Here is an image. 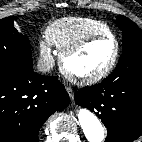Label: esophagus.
<instances>
[{
  "mask_svg": "<svg viewBox=\"0 0 142 142\" xmlns=\"http://www.w3.org/2000/svg\"><path fill=\"white\" fill-rule=\"evenodd\" d=\"M66 91H67L71 101H73V99H74V91H73V89L70 88V87H66Z\"/></svg>",
  "mask_w": 142,
  "mask_h": 142,
  "instance_id": "34e87169",
  "label": "esophagus"
}]
</instances>
